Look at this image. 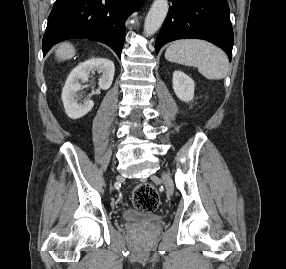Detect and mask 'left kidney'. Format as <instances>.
<instances>
[{
  "mask_svg": "<svg viewBox=\"0 0 286 269\" xmlns=\"http://www.w3.org/2000/svg\"><path fill=\"white\" fill-rule=\"evenodd\" d=\"M194 81L181 71L173 73V90L176 96L184 101L189 102L194 97Z\"/></svg>",
  "mask_w": 286,
  "mask_h": 269,
  "instance_id": "5707ae66",
  "label": "left kidney"
}]
</instances>
